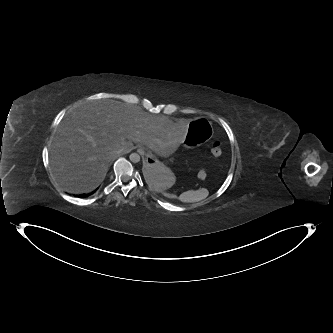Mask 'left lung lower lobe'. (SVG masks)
Masks as SVG:
<instances>
[{"label":"left lung lower lobe","instance_id":"obj_1","mask_svg":"<svg viewBox=\"0 0 333 333\" xmlns=\"http://www.w3.org/2000/svg\"><path fill=\"white\" fill-rule=\"evenodd\" d=\"M153 174H154V169L148 164L144 168V175L149 181H151Z\"/></svg>","mask_w":333,"mask_h":333}]
</instances>
